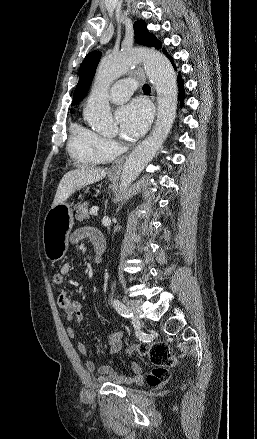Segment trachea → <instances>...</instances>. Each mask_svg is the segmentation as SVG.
I'll use <instances>...</instances> for the list:
<instances>
[{
	"label": "trachea",
	"mask_w": 257,
	"mask_h": 439,
	"mask_svg": "<svg viewBox=\"0 0 257 439\" xmlns=\"http://www.w3.org/2000/svg\"><path fill=\"white\" fill-rule=\"evenodd\" d=\"M150 86L148 85V84H144L143 85V92H145V93H147V92H150Z\"/></svg>",
	"instance_id": "1"
}]
</instances>
